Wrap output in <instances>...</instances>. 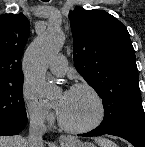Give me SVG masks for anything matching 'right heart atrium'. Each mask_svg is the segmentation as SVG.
Listing matches in <instances>:
<instances>
[{
  "instance_id": "1",
  "label": "right heart atrium",
  "mask_w": 145,
  "mask_h": 147,
  "mask_svg": "<svg viewBox=\"0 0 145 147\" xmlns=\"http://www.w3.org/2000/svg\"><path fill=\"white\" fill-rule=\"evenodd\" d=\"M21 98L25 113L29 121L37 126H50L54 120V114L38 97L36 91L24 84L21 90Z\"/></svg>"
}]
</instances>
